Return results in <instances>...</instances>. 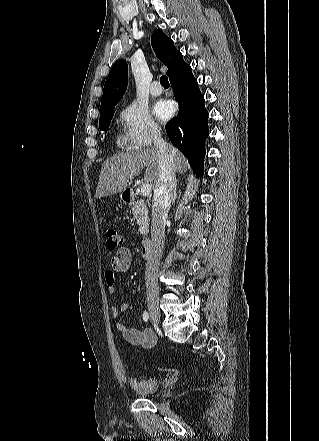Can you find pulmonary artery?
Masks as SVG:
<instances>
[{"label": "pulmonary artery", "mask_w": 319, "mask_h": 441, "mask_svg": "<svg viewBox=\"0 0 319 441\" xmlns=\"http://www.w3.org/2000/svg\"><path fill=\"white\" fill-rule=\"evenodd\" d=\"M162 92H163V89H162V87L159 85V83H158V82H153L152 85H151V87H150V93H151L153 96H159V95L162 94Z\"/></svg>", "instance_id": "1"}]
</instances>
